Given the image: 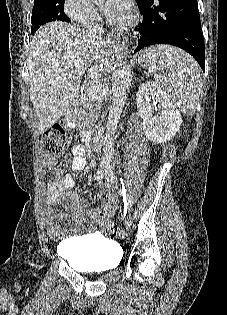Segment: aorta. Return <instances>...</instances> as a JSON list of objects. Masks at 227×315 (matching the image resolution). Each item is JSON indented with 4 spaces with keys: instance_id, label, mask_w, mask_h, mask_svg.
Listing matches in <instances>:
<instances>
[{
    "instance_id": "762f6f07",
    "label": "aorta",
    "mask_w": 227,
    "mask_h": 315,
    "mask_svg": "<svg viewBox=\"0 0 227 315\" xmlns=\"http://www.w3.org/2000/svg\"><path fill=\"white\" fill-rule=\"evenodd\" d=\"M131 66L128 63L123 64L114 80L112 91L113 99L109 110L108 122L106 125V142L103 148L102 161L108 163L112 156V138L116 132L120 115L123 110L127 91L130 86ZM101 161V162H102Z\"/></svg>"
}]
</instances>
